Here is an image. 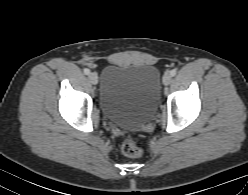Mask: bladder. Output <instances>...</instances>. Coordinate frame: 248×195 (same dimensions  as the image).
<instances>
[{
  "label": "bladder",
  "mask_w": 248,
  "mask_h": 195,
  "mask_svg": "<svg viewBox=\"0 0 248 195\" xmlns=\"http://www.w3.org/2000/svg\"><path fill=\"white\" fill-rule=\"evenodd\" d=\"M161 75L153 65H110L102 73L99 104L105 117L137 129L153 116L160 100Z\"/></svg>",
  "instance_id": "31cf9c89"
}]
</instances>
